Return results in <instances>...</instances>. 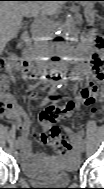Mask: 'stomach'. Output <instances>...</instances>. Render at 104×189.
<instances>
[{"instance_id": "stomach-1", "label": "stomach", "mask_w": 104, "mask_h": 189, "mask_svg": "<svg viewBox=\"0 0 104 189\" xmlns=\"http://www.w3.org/2000/svg\"><path fill=\"white\" fill-rule=\"evenodd\" d=\"M86 3H88V2H86V1L83 2L84 5H86Z\"/></svg>"}]
</instances>
